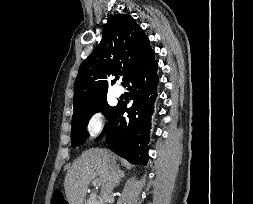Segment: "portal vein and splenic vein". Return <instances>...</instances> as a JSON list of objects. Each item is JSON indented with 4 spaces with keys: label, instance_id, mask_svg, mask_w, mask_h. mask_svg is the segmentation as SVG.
<instances>
[{
    "label": "portal vein and splenic vein",
    "instance_id": "18ae733b",
    "mask_svg": "<svg viewBox=\"0 0 253 204\" xmlns=\"http://www.w3.org/2000/svg\"><path fill=\"white\" fill-rule=\"evenodd\" d=\"M94 184H96L97 186H100V185H101V181L96 180V181L94 182Z\"/></svg>",
    "mask_w": 253,
    "mask_h": 204
}]
</instances>
